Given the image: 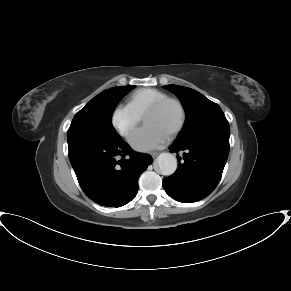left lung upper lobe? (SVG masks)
Listing matches in <instances>:
<instances>
[{
    "mask_svg": "<svg viewBox=\"0 0 291 291\" xmlns=\"http://www.w3.org/2000/svg\"><path fill=\"white\" fill-rule=\"evenodd\" d=\"M165 89L177 95L186 112V121L176 141L189 140L211 130L229 128L220 106L201 93L178 85H166Z\"/></svg>",
    "mask_w": 291,
    "mask_h": 291,
    "instance_id": "5c2ea615",
    "label": "left lung upper lobe"
}]
</instances>
